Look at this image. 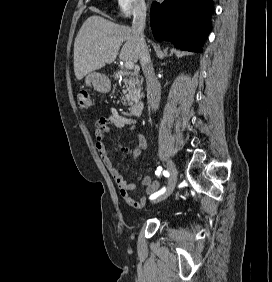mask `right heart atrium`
Listing matches in <instances>:
<instances>
[{
  "label": "right heart atrium",
  "mask_w": 272,
  "mask_h": 282,
  "mask_svg": "<svg viewBox=\"0 0 272 282\" xmlns=\"http://www.w3.org/2000/svg\"><path fill=\"white\" fill-rule=\"evenodd\" d=\"M146 4L144 0H116L115 12L119 17L129 18L145 11Z\"/></svg>",
  "instance_id": "d8ad5b80"
}]
</instances>
